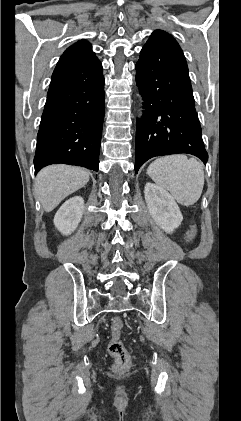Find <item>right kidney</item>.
<instances>
[{
	"mask_svg": "<svg viewBox=\"0 0 241 421\" xmlns=\"http://www.w3.org/2000/svg\"><path fill=\"white\" fill-rule=\"evenodd\" d=\"M84 211V200L75 196L67 200L57 211L54 217L55 227L63 234H71L81 221Z\"/></svg>",
	"mask_w": 241,
	"mask_h": 421,
	"instance_id": "ca27d5eb",
	"label": "right kidney"
}]
</instances>
